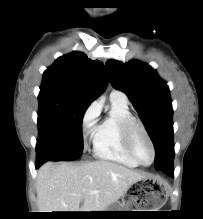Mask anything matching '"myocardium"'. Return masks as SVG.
Instances as JSON below:
<instances>
[{
	"mask_svg": "<svg viewBox=\"0 0 203 219\" xmlns=\"http://www.w3.org/2000/svg\"><path fill=\"white\" fill-rule=\"evenodd\" d=\"M138 131H140L145 136L152 150V160L150 163H147V164L143 163L138 158L135 152V149H134V137H135L136 132ZM122 133H123L124 145L129 155L141 166H150L151 164H153V162L155 161V157H156V148L144 124L141 121L137 120L136 118L129 119L124 122L123 127H122Z\"/></svg>",
	"mask_w": 203,
	"mask_h": 219,
	"instance_id": "1",
	"label": "myocardium"
}]
</instances>
